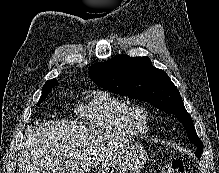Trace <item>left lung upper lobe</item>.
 Here are the masks:
<instances>
[{
    "instance_id": "left-lung-upper-lobe-1",
    "label": "left lung upper lobe",
    "mask_w": 219,
    "mask_h": 173,
    "mask_svg": "<svg viewBox=\"0 0 219 173\" xmlns=\"http://www.w3.org/2000/svg\"><path fill=\"white\" fill-rule=\"evenodd\" d=\"M89 76L108 91L147 101L160 110L175 115L185 127L189 140L197 147L196 156L200 159L203 143L196 134L179 90L163 70L152 65L148 57L116 55L108 61L93 64L89 69Z\"/></svg>"
}]
</instances>
